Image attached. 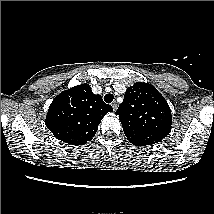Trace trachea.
Instances as JSON below:
<instances>
[{
	"instance_id": "obj_1",
	"label": "trachea",
	"mask_w": 214,
	"mask_h": 214,
	"mask_svg": "<svg viewBox=\"0 0 214 214\" xmlns=\"http://www.w3.org/2000/svg\"><path fill=\"white\" fill-rule=\"evenodd\" d=\"M113 99H114V96H113V94H106L105 96H104V101L106 102V103H111L112 101H113Z\"/></svg>"
}]
</instances>
